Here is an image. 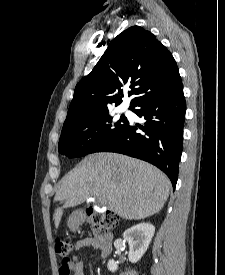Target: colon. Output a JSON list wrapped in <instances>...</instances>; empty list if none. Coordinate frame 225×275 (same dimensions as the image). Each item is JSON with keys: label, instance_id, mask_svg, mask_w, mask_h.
<instances>
[{"label": "colon", "instance_id": "1", "mask_svg": "<svg viewBox=\"0 0 225 275\" xmlns=\"http://www.w3.org/2000/svg\"><path fill=\"white\" fill-rule=\"evenodd\" d=\"M85 214L91 224L101 231L113 230L118 226L119 217L111 211H96L92 208H87ZM72 242L61 237L54 239V249L57 255L61 256L59 261L60 275H70L71 265L67 258L72 250Z\"/></svg>", "mask_w": 225, "mask_h": 275}]
</instances>
